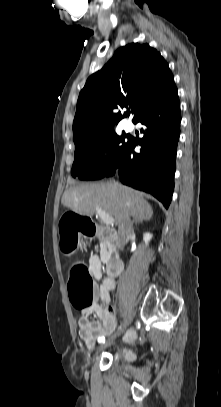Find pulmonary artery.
<instances>
[{"mask_svg":"<svg viewBox=\"0 0 221 407\" xmlns=\"http://www.w3.org/2000/svg\"><path fill=\"white\" fill-rule=\"evenodd\" d=\"M123 127H124L125 131L129 132V131L133 130L134 125H133V123L131 121H126L124 123Z\"/></svg>","mask_w":221,"mask_h":407,"instance_id":"pulmonary-artery-1","label":"pulmonary artery"}]
</instances>
